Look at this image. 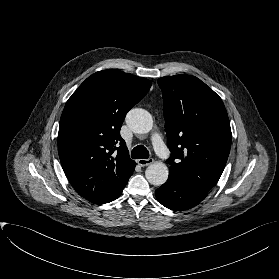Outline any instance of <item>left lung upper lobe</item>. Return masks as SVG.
<instances>
[{
    "label": "left lung upper lobe",
    "instance_id": "left-lung-upper-lobe-1",
    "mask_svg": "<svg viewBox=\"0 0 279 279\" xmlns=\"http://www.w3.org/2000/svg\"><path fill=\"white\" fill-rule=\"evenodd\" d=\"M171 151L169 174L206 191L216 185L231 148V128L222 99L190 75L158 79Z\"/></svg>",
    "mask_w": 279,
    "mask_h": 279
}]
</instances>
